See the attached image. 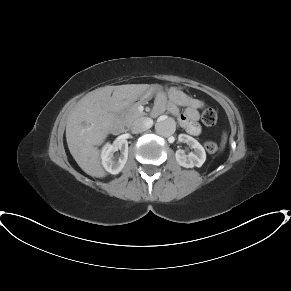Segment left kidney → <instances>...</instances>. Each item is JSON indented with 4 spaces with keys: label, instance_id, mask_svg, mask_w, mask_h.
I'll list each match as a JSON object with an SVG mask.
<instances>
[{
    "label": "left kidney",
    "instance_id": "obj_1",
    "mask_svg": "<svg viewBox=\"0 0 291 291\" xmlns=\"http://www.w3.org/2000/svg\"><path fill=\"white\" fill-rule=\"evenodd\" d=\"M178 140L179 142L187 143L193 151L186 155L184 150H177L175 153L177 163L185 168L201 167L206 160V152L203 146L187 134H180Z\"/></svg>",
    "mask_w": 291,
    "mask_h": 291
}]
</instances>
